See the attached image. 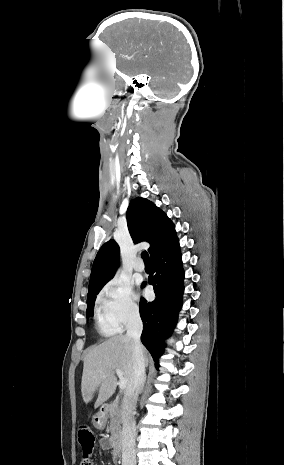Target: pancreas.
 <instances>
[{"instance_id": "obj_1", "label": "pancreas", "mask_w": 284, "mask_h": 465, "mask_svg": "<svg viewBox=\"0 0 284 465\" xmlns=\"http://www.w3.org/2000/svg\"><path fill=\"white\" fill-rule=\"evenodd\" d=\"M111 439L115 441L117 435L121 431V409L119 407V399H115L109 409Z\"/></svg>"}]
</instances>
